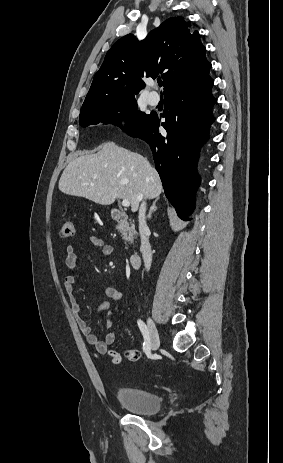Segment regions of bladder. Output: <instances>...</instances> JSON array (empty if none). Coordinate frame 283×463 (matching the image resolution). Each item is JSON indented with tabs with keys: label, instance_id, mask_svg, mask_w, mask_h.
<instances>
[{
	"label": "bladder",
	"instance_id": "bladder-1",
	"mask_svg": "<svg viewBox=\"0 0 283 463\" xmlns=\"http://www.w3.org/2000/svg\"><path fill=\"white\" fill-rule=\"evenodd\" d=\"M116 397L121 405L138 415H153L160 411L162 403L157 393L136 387H120Z\"/></svg>",
	"mask_w": 283,
	"mask_h": 463
}]
</instances>
